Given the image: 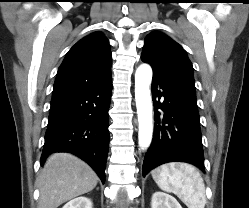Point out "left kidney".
I'll list each match as a JSON object with an SVG mask.
<instances>
[{"mask_svg": "<svg viewBox=\"0 0 249 208\" xmlns=\"http://www.w3.org/2000/svg\"><path fill=\"white\" fill-rule=\"evenodd\" d=\"M151 208H182V206L173 196L158 191L152 195Z\"/></svg>", "mask_w": 249, "mask_h": 208, "instance_id": "obj_1", "label": "left kidney"}]
</instances>
